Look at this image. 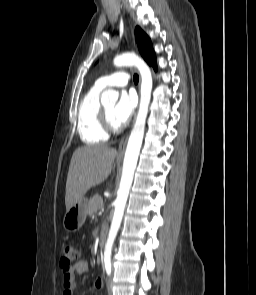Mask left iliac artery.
<instances>
[{"label": "left iliac artery", "mask_w": 256, "mask_h": 295, "mask_svg": "<svg viewBox=\"0 0 256 295\" xmlns=\"http://www.w3.org/2000/svg\"><path fill=\"white\" fill-rule=\"evenodd\" d=\"M105 270L108 276L111 274V262H105Z\"/></svg>", "instance_id": "44dca946"}]
</instances>
